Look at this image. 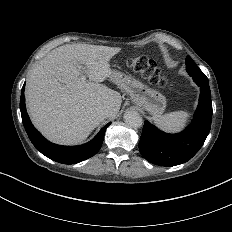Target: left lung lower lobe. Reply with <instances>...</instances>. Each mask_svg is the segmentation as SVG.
<instances>
[{"label": "left lung lower lobe", "instance_id": "left-lung-lower-lobe-1", "mask_svg": "<svg viewBox=\"0 0 232 232\" xmlns=\"http://www.w3.org/2000/svg\"><path fill=\"white\" fill-rule=\"evenodd\" d=\"M200 87L199 104L192 122L182 132L167 134L145 121L139 150L152 164L171 167L190 160L203 146L212 120V101L209 84Z\"/></svg>", "mask_w": 232, "mask_h": 232}]
</instances>
